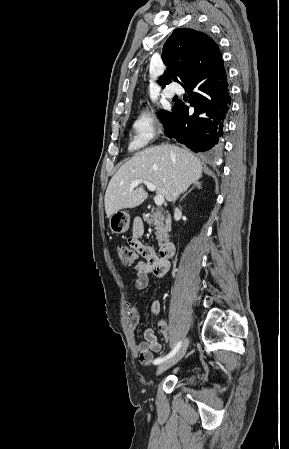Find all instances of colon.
<instances>
[{
  "instance_id": "colon-1",
  "label": "colon",
  "mask_w": 289,
  "mask_h": 449,
  "mask_svg": "<svg viewBox=\"0 0 289 449\" xmlns=\"http://www.w3.org/2000/svg\"><path fill=\"white\" fill-rule=\"evenodd\" d=\"M116 253L121 263L125 266H132L138 258L137 251L129 244L118 245Z\"/></svg>"
}]
</instances>
